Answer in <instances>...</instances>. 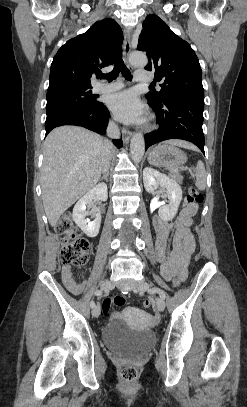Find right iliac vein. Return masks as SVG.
Returning a JSON list of instances; mask_svg holds the SVG:
<instances>
[{"label": "right iliac vein", "instance_id": "63e3f726", "mask_svg": "<svg viewBox=\"0 0 247 407\" xmlns=\"http://www.w3.org/2000/svg\"><path fill=\"white\" fill-rule=\"evenodd\" d=\"M101 288L106 291L110 290L113 288V283L110 280H104L101 284ZM92 315L94 317H98L100 315V306L99 305H97L96 307L93 308Z\"/></svg>", "mask_w": 247, "mask_h": 407}]
</instances>
